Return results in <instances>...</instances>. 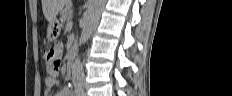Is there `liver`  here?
Here are the masks:
<instances>
[{
	"mask_svg": "<svg viewBox=\"0 0 232 96\" xmlns=\"http://www.w3.org/2000/svg\"><path fill=\"white\" fill-rule=\"evenodd\" d=\"M68 3V0H42V10L47 21L56 19L58 12Z\"/></svg>",
	"mask_w": 232,
	"mask_h": 96,
	"instance_id": "6515ba94",
	"label": "liver"
}]
</instances>
